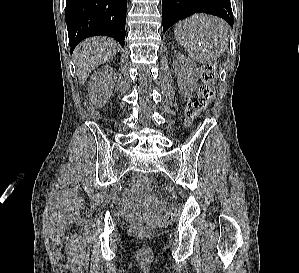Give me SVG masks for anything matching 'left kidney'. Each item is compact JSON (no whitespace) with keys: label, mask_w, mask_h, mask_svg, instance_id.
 Wrapping results in <instances>:
<instances>
[{"label":"left kidney","mask_w":299,"mask_h":273,"mask_svg":"<svg viewBox=\"0 0 299 273\" xmlns=\"http://www.w3.org/2000/svg\"><path fill=\"white\" fill-rule=\"evenodd\" d=\"M177 74L178 86L185 96H189L197 88L198 69L189 58L178 54L173 61Z\"/></svg>","instance_id":"obj_1"}]
</instances>
